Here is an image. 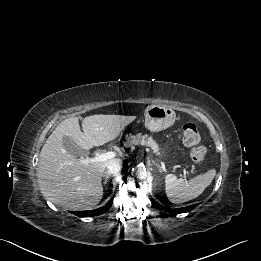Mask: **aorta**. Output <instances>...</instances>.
Wrapping results in <instances>:
<instances>
[{
    "instance_id": "762f6f07",
    "label": "aorta",
    "mask_w": 261,
    "mask_h": 261,
    "mask_svg": "<svg viewBox=\"0 0 261 261\" xmlns=\"http://www.w3.org/2000/svg\"><path fill=\"white\" fill-rule=\"evenodd\" d=\"M134 173L138 178H144L146 176L145 168L140 165L134 168Z\"/></svg>"
}]
</instances>
